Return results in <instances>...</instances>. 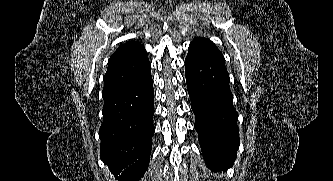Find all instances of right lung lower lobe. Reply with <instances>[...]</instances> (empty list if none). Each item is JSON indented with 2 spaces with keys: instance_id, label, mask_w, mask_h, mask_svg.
<instances>
[{
  "instance_id": "obj_1",
  "label": "right lung lower lobe",
  "mask_w": 333,
  "mask_h": 181,
  "mask_svg": "<svg viewBox=\"0 0 333 181\" xmlns=\"http://www.w3.org/2000/svg\"><path fill=\"white\" fill-rule=\"evenodd\" d=\"M103 99L100 158L119 180L140 179L149 164L154 134L151 74Z\"/></svg>"
}]
</instances>
